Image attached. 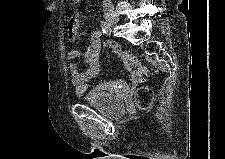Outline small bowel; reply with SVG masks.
<instances>
[{
  "label": "small bowel",
  "instance_id": "c3829d8e",
  "mask_svg": "<svg viewBox=\"0 0 225 159\" xmlns=\"http://www.w3.org/2000/svg\"><path fill=\"white\" fill-rule=\"evenodd\" d=\"M80 25V18L78 13H74L68 22L67 27V37L70 42L74 43L78 34ZM101 33L98 30L93 31L90 34L88 43L84 50L80 51L78 49H72L67 54V59L69 62V72L71 74V80L76 88V92L81 94L85 91L87 83L95 78L99 73V63L101 58ZM113 51L117 52L120 46L114 42L110 41L107 43ZM78 57H82L84 63L88 66L85 70L80 71L77 63L74 60ZM134 81L132 80L127 86L131 88ZM122 86V81H109L100 84L97 88L99 90H115Z\"/></svg>",
  "mask_w": 225,
  "mask_h": 159
}]
</instances>
